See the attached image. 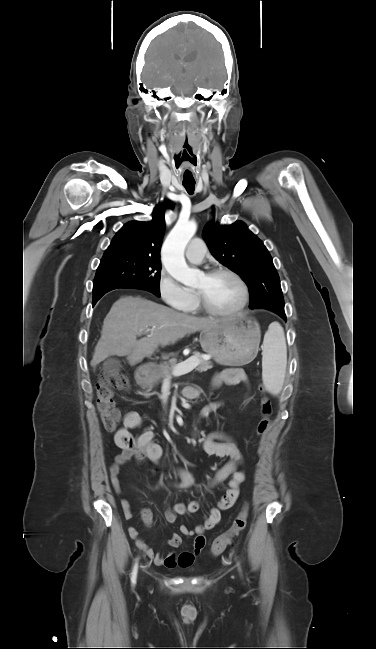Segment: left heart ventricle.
Returning <instances> with one entry per match:
<instances>
[{"mask_svg": "<svg viewBox=\"0 0 376 649\" xmlns=\"http://www.w3.org/2000/svg\"><path fill=\"white\" fill-rule=\"evenodd\" d=\"M195 290L202 291L209 304L218 310L234 309L242 298L239 284L228 274H217L212 277L202 275Z\"/></svg>", "mask_w": 376, "mask_h": 649, "instance_id": "b2bd125f", "label": "left heart ventricle"}]
</instances>
